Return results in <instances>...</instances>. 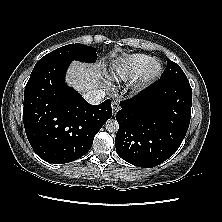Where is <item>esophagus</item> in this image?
<instances>
[{
  "label": "esophagus",
  "instance_id": "1",
  "mask_svg": "<svg viewBox=\"0 0 222 222\" xmlns=\"http://www.w3.org/2000/svg\"><path fill=\"white\" fill-rule=\"evenodd\" d=\"M119 109H120L119 102L118 101H113L112 102V112H113V115H115Z\"/></svg>",
  "mask_w": 222,
  "mask_h": 222
}]
</instances>
